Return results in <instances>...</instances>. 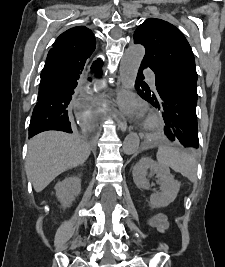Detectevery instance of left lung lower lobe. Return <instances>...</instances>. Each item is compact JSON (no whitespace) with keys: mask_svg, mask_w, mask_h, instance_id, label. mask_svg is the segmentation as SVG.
<instances>
[{"mask_svg":"<svg viewBox=\"0 0 225 267\" xmlns=\"http://www.w3.org/2000/svg\"><path fill=\"white\" fill-rule=\"evenodd\" d=\"M141 63L136 87L144 79ZM139 95L162 112L165 121L164 132L171 142L182 144L185 148H198V128L196 116L197 80L186 76L170 78L162 83L157 93L153 94L149 88L138 89Z\"/></svg>","mask_w":225,"mask_h":267,"instance_id":"obj_1","label":"left lung lower lobe"}]
</instances>
